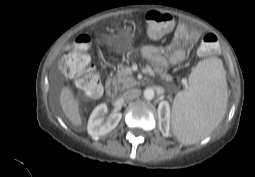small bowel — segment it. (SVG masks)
I'll return each instance as SVG.
<instances>
[{
	"label": "small bowel",
	"instance_id": "small-bowel-1",
	"mask_svg": "<svg viewBox=\"0 0 255 177\" xmlns=\"http://www.w3.org/2000/svg\"><path fill=\"white\" fill-rule=\"evenodd\" d=\"M201 36L200 30L180 24L168 45H146L142 48V54L162 68L166 67L167 59L172 65H177L187 56V49L182 47V44L193 46L201 39Z\"/></svg>",
	"mask_w": 255,
	"mask_h": 177
}]
</instances>
